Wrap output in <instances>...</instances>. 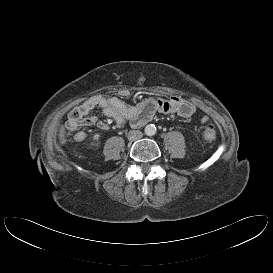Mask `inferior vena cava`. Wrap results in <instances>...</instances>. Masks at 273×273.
<instances>
[{"label":"inferior vena cava","instance_id":"obj_1","mask_svg":"<svg viewBox=\"0 0 273 273\" xmlns=\"http://www.w3.org/2000/svg\"><path fill=\"white\" fill-rule=\"evenodd\" d=\"M142 137H143V133L139 130H131L128 133V139L130 141H135V140L141 139Z\"/></svg>","mask_w":273,"mask_h":273}]
</instances>
